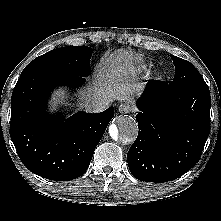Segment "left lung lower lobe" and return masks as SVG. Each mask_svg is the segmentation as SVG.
I'll use <instances>...</instances> for the list:
<instances>
[{
  "label": "left lung lower lobe",
  "mask_w": 221,
  "mask_h": 221,
  "mask_svg": "<svg viewBox=\"0 0 221 221\" xmlns=\"http://www.w3.org/2000/svg\"><path fill=\"white\" fill-rule=\"evenodd\" d=\"M207 84L171 88L152 80L138 101L137 139L127 154L132 175L146 182H167L200 159L210 132Z\"/></svg>",
  "instance_id": "obj_1"
}]
</instances>
